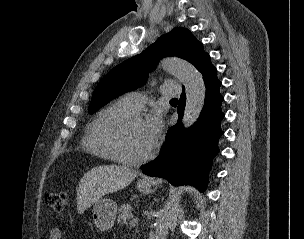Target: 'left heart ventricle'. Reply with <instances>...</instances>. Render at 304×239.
<instances>
[{"instance_id": "1", "label": "left heart ventricle", "mask_w": 304, "mask_h": 239, "mask_svg": "<svg viewBox=\"0 0 304 239\" xmlns=\"http://www.w3.org/2000/svg\"><path fill=\"white\" fill-rule=\"evenodd\" d=\"M122 150L129 157H138L147 153L152 147L145 132V122L133 123L124 133Z\"/></svg>"}]
</instances>
